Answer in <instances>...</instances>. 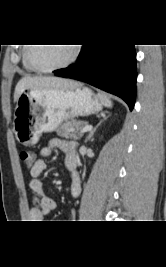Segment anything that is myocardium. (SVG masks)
<instances>
[{
    "instance_id": "1",
    "label": "myocardium",
    "mask_w": 166,
    "mask_h": 267,
    "mask_svg": "<svg viewBox=\"0 0 166 267\" xmlns=\"http://www.w3.org/2000/svg\"><path fill=\"white\" fill-rule=\"evenodd\" d=\"M34 44H30V46H27L26 48V60L28 62V64L35 70V71H39V72H43V73H50V72H54L63 68H66L68 66H70L77 58L78 54H79V48L77 46H73L72 47V53L70 55V57L63 63L53 66V67H40L37 64L34 63V61L32 60L31 57V51L33 48Z\"/></svg>"
}]
</instances>
